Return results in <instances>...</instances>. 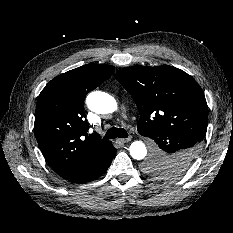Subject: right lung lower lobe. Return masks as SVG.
I'll use <instances>...</instances> for the list:
<instances>
[{"mask_svg": "<svg viewBox=\"0 0 233 233\" xmlns=\"http://www.w3.org/2000/svg\"><path fill=\"white\" fill-rule=\"evenodd\" d=\"M115 154L116 149L111 144L102 156L88 160L62 177L72 183L90 182L106 172Z\"/></svg>", "mask_w": 233, "mask_h": 233, "instance_id": "right-lung-lower-lobe-1", "label": "right lung lower lobe"}]
</instances>
